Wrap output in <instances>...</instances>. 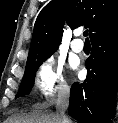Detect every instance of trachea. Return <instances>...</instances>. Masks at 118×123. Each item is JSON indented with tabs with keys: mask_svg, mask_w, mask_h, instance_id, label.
Wrapping results in <instances>:
<instances>
[{
	"mask_svg": "<svg viewBox=\"0 0 118 123\" xmlns=\"http://www.w3.org/2000/svg\"><path fill=\"white\" fill-rule=\"evenodd\" d=\"M83 36L86 37L85 42H90L88 39V30L83 32Z\"/></svg>",
	"mask_w": 118,
	"mask_h": 123,
	"instance_id": "obj_1",
	"label": "trachea"
}]
</instances>
